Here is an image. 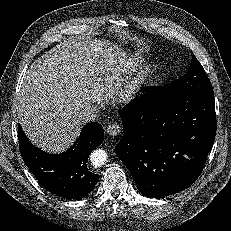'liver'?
<instances>
[{"instance_id": "liver-1", "label": "liver", "mask_w": 231, "mask_h": 231, "mask_svg": "<svg viewBox=\"0 0 231 231\" xmlns=\"http://www.w3.org/2000/svg\"><path fill=\"white\" fill-rule=\"evenodd\" d=\"M116 55L108 42L77 38L52 48L29 67L16 108L33 144L58 153L74 143L84 125L78 113L103 104L116 87Z\"/></svg>"}]
</instances>
